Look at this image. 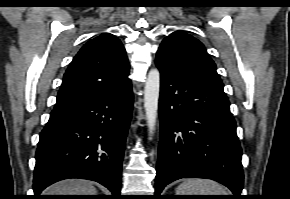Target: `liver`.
<instances>
[{
  "label": "liver",
  "instance_id": "6515ba94",
  "mask_svg": "<svg viewBox=\"0 0 290 199\" xmlns=\"http://www.w3.org/2000/svg\"><path fill=\"white\" fill-rule=\"evenodd\" d=\"M45 193L46 195H96L97 190L91 182L70 179L53 184Z\"/></svg>",
  "mask_w": 290,
  "mask_h": 199
}]
</instances>
